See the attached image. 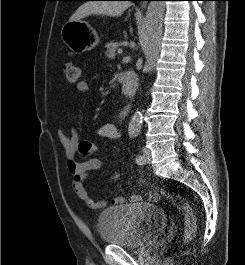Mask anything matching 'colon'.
I'll return each mask as SVG.
<instances>
[{
	"instance_id": "1",
	"label": "colon",
	"mask_w": 245,
	"mask_h": 265,
	"mask_svg": "<svg viewBox=\"0 0 245 265\" xmlns=\"http://www.w3.org/2000/svg\"><path fill=\"white\" fill-rule=\"evenodd\" d=\"M64 74L66 80L69 83H76L79 79V69L78 67L72 62H66L63 66ZM78 153L81 157H90L94 156L97 152V148L94 143L83 140L78 144ZM150 187L158 193L159 196L164 198L169 204H171L174 208L180 211L184 216V235H183V243H189L196 232L197 223L196 217L193 213L192 208L188 204L187 200L179 194L174 192H170L165 190L164 188H159L153 185Z\"/></svg>"
}]
</instances>
